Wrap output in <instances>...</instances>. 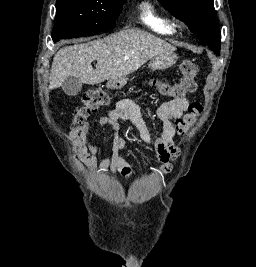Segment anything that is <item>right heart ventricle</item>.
I'll return each mask as SVG.
<instances>
[{
	"label": "right heart ventricle",
	"mask_w": 256,
	"mask_h": 267,
	"mask_svg": "<svg viewBox=\"0 0 256 267\" xmlns=\"http://www.w3.org/2000/svg\"><path fill=\"white\" fill-rule=\"evenodd\" d=\"M150 29L162 36H171L176 34L177 26L171 18L165 20H151L147 22Z\"/></svg>",
	"instance_id": "1"
}]
</instances>
